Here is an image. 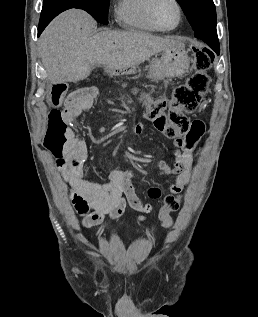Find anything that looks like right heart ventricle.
<instances>
[{
  "label": "right heart ventricle",
  "mask_w": 258,
  "mask_h": 317,
  "mask_svg": "<svg viewBox=\"0 0 258 317\" xmlns=\"http://www.w3.org/2000/svg\"><path fill=\"white\" fill-rule=\"evenodd\" d=\"M153 0H120L116 9V22L128 30L143 33H156L158 29L148 16Z\"/></svg>",
  "instance_id": "obj_1"
}]
</instances>
